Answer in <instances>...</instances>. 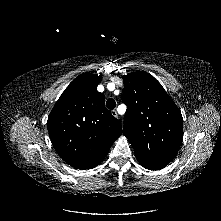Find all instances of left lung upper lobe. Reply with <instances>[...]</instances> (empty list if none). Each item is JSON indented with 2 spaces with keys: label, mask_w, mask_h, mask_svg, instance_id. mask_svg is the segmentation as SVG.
Instances as JSON below:
<instances>
[{
  "label": "left lung upper lobe",
  "mask_w": 221,
  "mask_h": 221,
  "mask_svg": "<svg viewBox=\"0 0 221 221\" xmlns=\"http://www.w3.org/2000/svg\"><path fill=\"white\" fill-rule=\"evenodd\" d=\"M127 105L123 133L138 161L166 166L182 142L183 119L161 84L144 71L123 76Z\"/></svg>",
  "instance_id": "left-lung-upper-lobe-1"
}]
</instances>
